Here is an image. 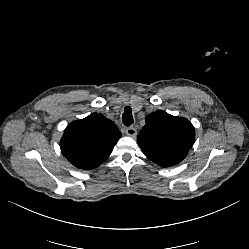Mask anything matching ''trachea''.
<instances>
[{"instance_id": "trachea-1", "label": "trachea", "mask_w": 249, "mask_h": 249, "mask_svg": "<svg viewBox=\"0 0 249 249\" xmlns=\"http://www.w3.org/2000/svg\"><path fill=\"white\" fill-rule=\"evenodd\" d=\"M122 120H123L124 125L126 126H130L134 122L133 117H132V108L130 106H126L124 108Z\"/></svg>"}]
</instances>
